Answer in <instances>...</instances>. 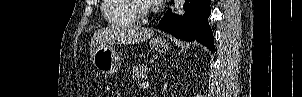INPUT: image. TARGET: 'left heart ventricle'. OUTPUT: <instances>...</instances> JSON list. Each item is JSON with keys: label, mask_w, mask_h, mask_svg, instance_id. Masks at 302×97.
I'll return each instance as SVG.
<instances>
[{"label": "left heart ventricle", "mask_w": 302, "mask_h": 97, "mask_svg": "<svg viewBox=\"0 0 302 97\" xmlns=\"http://www.w3.org/2000/svg\"><path fill=\"white\" fill-rule=\"evenodd\" d=\"M140 3H141V4H147L148 2L145 1V0H141Z\"/></svg>", "instance_id": "1"}]
</instances>
